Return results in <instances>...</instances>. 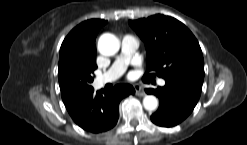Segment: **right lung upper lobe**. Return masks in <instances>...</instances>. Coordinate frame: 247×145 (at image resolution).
I'll list each match as a JSON object with an SVG mask.
<instances>
[{
    "label": "right lung upper lobe",
    "instance_id": "1",
    "mask_svg": "<svg viewBox=\"0 0 247 145\" xmlns=\"http://www.w3.org/2000/svg\"><path fill=\"white\" fill-rule=\"evenodd\" d=\"M107 21L91 19L76 26L64 39L60 48L59 63L75 59L85 63H96L95 39Z\"/></svg>",
    "mask_w": 247,
    "mask_h": 145
}]
</instances>
